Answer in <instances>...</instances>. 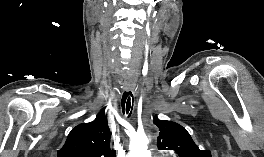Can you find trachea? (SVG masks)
<instances>
[{"instance_id":"1","label":"trachea","mask_w":264,"mask_h":157,"mask_svg":"<svg viewBox=\"0 0 264 157\" xmlns=\"http://www.w3.org/2000/svg\"><path fill=\"white\" fill-rule=\"evenodd\" d=\"M133 108V95L131 91H125L122 96V109L127 114L129 113V116L132 113Z\"/></svg>"}]
</instances>
